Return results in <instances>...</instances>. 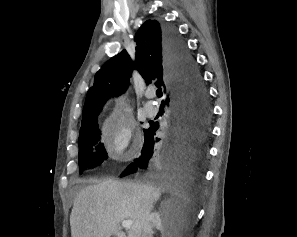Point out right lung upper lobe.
<instances>
[{"instance_id": "1", "label": "right lung upper lobe", "mask_w": 297, "mask_h": 237, "mask_svg": "<svg viewBox=\"0 0 297 237\" xmlns=\"http://www.w3.org/2000/svg\"><path fill=\"white\" fill-rule=\"evenodd\" d=\"M136 57L133 63L126 50L107 61L96 73L94 85L89 89L83 109L80 131L97 123V117L109 96L125 92L134 67L146 83L158 78L156 86L171 89L172 79L163 43V24L147 20L135 36Z\"/></svg>"}]
</instances>
